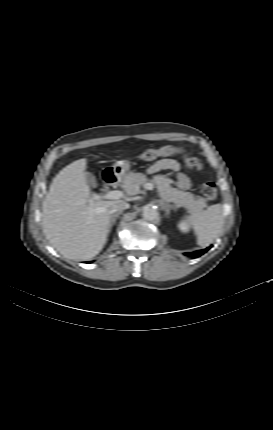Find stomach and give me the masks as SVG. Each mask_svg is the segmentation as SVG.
<instances>
[{"mask_svg": "<svg viewBox=\"0 0 273 430\" xmlns=\"http://www.w3.org/2000/svg\"><path fill=\"white\" fill-rule=\"evenodd\" d=\"M113 167L117 175H119L122 178H125L130 169V162L129 161L116 162Z\"/></svg>", "mask_w": 273, "mask_h": 430, "instance_id": "0dacf381", "label": "stomach"}]
</instances>
